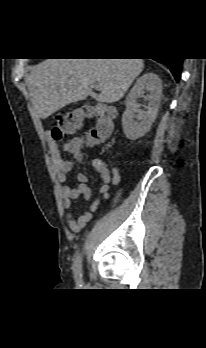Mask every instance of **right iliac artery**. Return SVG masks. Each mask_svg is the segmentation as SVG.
<instances>
[{"label": "right iliac artery", "mask_w": 206, "mask_h": 348, "mask_svg": "<svg viewBox=\"0 0 206 348\" xmlns=\"http://www.w3.org/2000/svg\"><path fill=\"white\" fill-rule=\"evenodd\" d=\"M74 272H75V279L77 283H81L82 279V264H81V255L79 254L74 263Z\"/></svg>", "instance_id": "82829eb1"}]
</instances>
